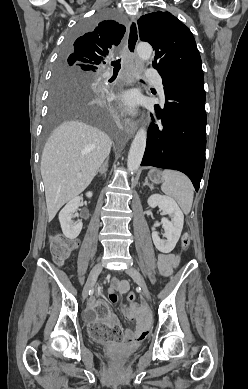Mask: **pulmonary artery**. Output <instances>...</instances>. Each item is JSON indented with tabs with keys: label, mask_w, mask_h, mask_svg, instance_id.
I'll use <instances>...</instances> for the list:
<instances>
[{
	"label": "pulmonary artery",
	"mask_w": 248,
	"mask_h": 389,
	"mask_svg": "<svg viewBox=\"0 0 248 389\" xmlns=\"http://www.w3.org/2000/svg\"><path fill=\"white\" fill-rule=\"evenodd\" d=\"M151 80L154 82V84L157 86V89L159 91V94L161 97H164V90H163V81L162 77L160 75H151Z\"/></svg>",
	"instance_id": "e3ab8cb5"
}]
</instances>
